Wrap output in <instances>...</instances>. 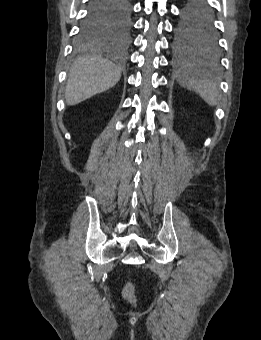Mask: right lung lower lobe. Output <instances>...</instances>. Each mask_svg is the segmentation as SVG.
<instances>
[{"instance_id": "right-lung-lower-lobe-1", "label": "right lung lower lobe", "mask_w": 261, "mask_h": 340, "mask_svg": "<svg viewBox=\"0 0 261 340\" xmlns=\"http://www.w3.org/2000/svg\"><path fill=\"white\" fill-rule=\"evenodd\" d=\"M128 4L129 0H91L88 15L115 16L125 10Z\"/></svg>"}]
</instances>
